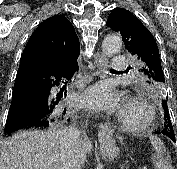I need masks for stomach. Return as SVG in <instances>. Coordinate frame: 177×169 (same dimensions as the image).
Here are the masks:
<instances>
[{"label":"stomach","instance_id":"0dacf381","mask_svg":"<svg viewBox=\"0 0 177 169\" xmlns=\"http://www.w3.org/2000/svg\"><path fill=\"white\" fill-rule=\"evenodd\" d=\"M103 158L108 161H114L119 155V149L112 142H103L100 146Z\"/></svg>","mask_w":177,"mask_h":169}]
</instances>
